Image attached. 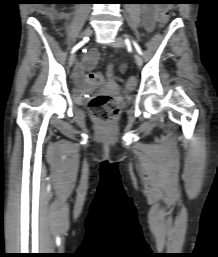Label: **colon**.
<instances>
[{"label": "colon", "mask_w": 218, "mask_h": 257, "mask_svg": "<svg viewBox=\"0 0 218 257\" xmlns=\"http://www.w3.org/2000/svg\"><path fill=\"white\" fill-rule=\"evenodd\" d=\"M173 2H162V5H158L157 16H160V19L156 25L157 29H165L166 23L170 21V16L173 12ZM162 30H156V35H162ZM116 68L109 65L103 70V74H87L84 79V84H89L90 87H94V90H104V84H116L117 80L115 79ZM137 79L132 76L127 82L128 88H133L136 85ZM91 112L102 122L108 124L110 120L117 115L119 111V102L118 100L107 94H98L94 96L89 103Z\"/></svg>", "instance_id": "colon-1"}]
</instances>
